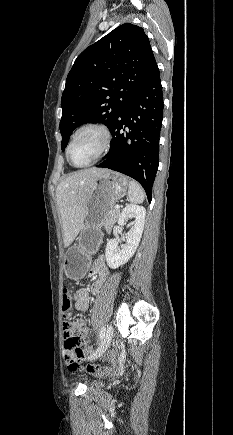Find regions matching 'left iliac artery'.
I'll list each match as a JSON object with an SVG mask.
<instances>
[{
	"mask_svg": "<svg viewBox=\"0 0 233 435\" xmlns=\"http://www.w3.org/2000/svg\"><path fill=\"white\" fill-rule=\"evenodd\" d=\"M105 332H106V328L103 326V327L101 328V330H100V334H99L100 339H102V338L104 337Z\"/></svg>",
	"mask_w": 233,
	"mask_h": 435,
	"instance_id": "obj_1",
	"label": "left iliac artery"
}]
</instances>
